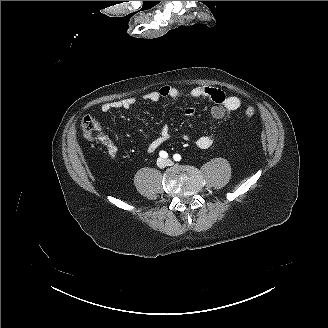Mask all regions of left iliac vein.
Returning a JSON list of instances; mask_svg holds the SVG:
<instances>
[{
    "instance_id": "4c4485c4",
    "label": "left iliac vein",
    "mask_w": 328,
    "mask_h": 328,
    "mask_svg": "<svg viewBox=\"0 0 328 328\" xmlns=\"http://www.w3.org/2000/svg\"><path fill=\"white\" fill-rule=\"evenodd\" d=\"M166 162H167V165H172L173 164V162L170 159H167Z\"/></svg>"
}]
</instances>
